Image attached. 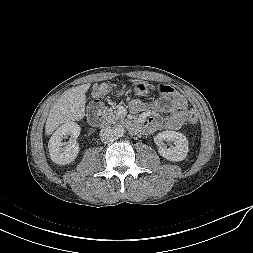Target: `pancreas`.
Returning <instances> with one entry per match:
<instances>
[{"label": "pancreas", "mask_w": 253, "mask_h": 253, "mask_svg": "<svg viewBox=\"0 0 253 253\" xmlns=\"http://www.w3.org/2000/svg\"><path fill=\"white\" fill-rule=\"evenodd\" d=\"M101 116L106 125L115 124L117 120L120 119V117L116 114V112L109 108H104L103 111L101 112Z\"/></svg>", "instance_id": "1"}]
</instances>
